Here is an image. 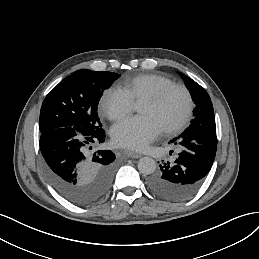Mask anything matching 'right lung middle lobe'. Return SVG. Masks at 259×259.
I'll use <instances>...</instances> for the list:
<instances>
[{"mask_svg":"<svg viewBox=\"0 0 259 259\" xmlns=\"http://www.w3.org/2000/svg\"><path fill=\"white\" fill-rule=\"evenodd\" d=\"M120 75L113 72H96L82 69L66 77L55 86L43 101L39 130L73 127L89 135L100 131L97 105L103 91Z\"/></svg>","mask_w":259,"mask_h":259,"instance_id":"dd1d6c3e","label":"right lung middle lobe"}]
</instances>
